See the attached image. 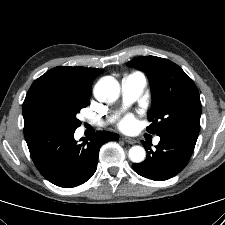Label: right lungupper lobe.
Segmentation results:
<instances>
[{"instance_id":"1","label":"right lung upper lobe","mask_w":225,"mask_h":225,"mask_svg":"<svg viewBox=\"0 0 225 225\" xmlns=\"http://www.w3.org/2000/svg\"><path fill=\"white\" fill-rule=\"evenodd\" d=\"M102 72L103 69L97 68L69 66L55 67L35 80L29 91L39 85L51 82H67L90 90L92 81Z\"/></svg>"}]
</instances>
